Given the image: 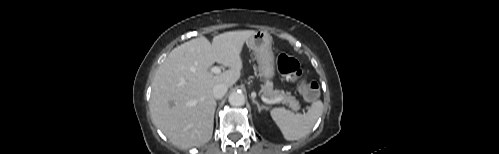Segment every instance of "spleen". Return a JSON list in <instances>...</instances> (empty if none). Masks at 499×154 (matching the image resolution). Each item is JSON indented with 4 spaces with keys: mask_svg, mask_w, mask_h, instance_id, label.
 I'll use <instances>...</instances> for the list:
<instances>
[{
    "mask_svg": "<svg viewBox=\"0 0 499 154\" xmlns=\"http://www.w3.org/2000/svg\"><path fill=\"white\" fill-rule=\"evenodd\" d=\"M323 103L318 100L311 104L306 114H294L285 108L278 107L270 111L273 121L281 130L284 138L295 141L310 133L323 112Z\"/></svg>",
    "mask_w": 499,
    "mask_h": 154,
    "instance_id": "3e777b00",
    "label": "spleen"
}]
</instances>
